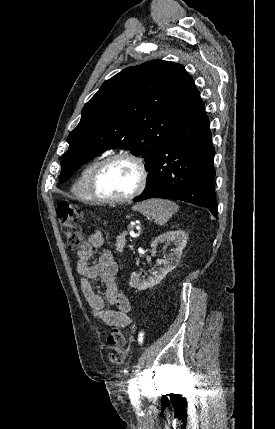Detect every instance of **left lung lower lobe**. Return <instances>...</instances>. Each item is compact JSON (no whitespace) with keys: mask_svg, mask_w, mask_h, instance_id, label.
Wrapping results in <instances>:
<instances>
[{"mask_svg":"<svg viewBox=\"0 0 275 429\" xmlns=\"http://www.w3.org/2000/svg\"><path fill=\"white\" fill-rule=\"evenodd\" d=\"M209 125L196 89L186 112L147 168V185L134 202L153 197L177 199L206 207L218 218L213 182L215 150Z\"/></svg>","mask_w":275,"mask_h":429,"instance_id":"left-lung-lower-lobe-1","label":"left lung lower lobe"}]
</instances>
